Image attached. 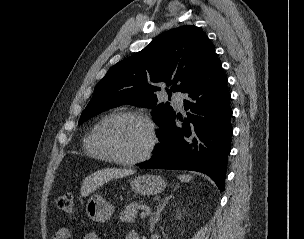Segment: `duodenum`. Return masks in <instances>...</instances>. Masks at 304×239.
I'll list each match as a JSON object with an SVG mask.
<instances>
[{"instance_id": "duodenum-1", "label": "duodenum", "mask_w": 304, "mask_h": 239, "mask_svg": "<svg viewBox=\"0 0 304 239\" xmlns=\"http://www.w3.org/2000/svg\"><path fill=\"white\" fill-rule=\"evenodd\" d=\"M132 239H140V237L138 234H136L135 236L132 237Z\"/></svg>"}]
</instances>
